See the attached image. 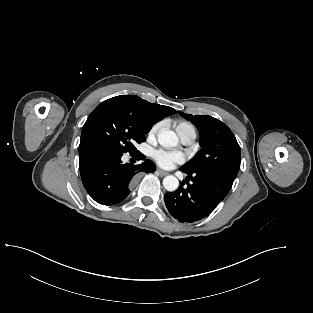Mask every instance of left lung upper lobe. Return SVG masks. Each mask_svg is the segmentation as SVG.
Wrapping results in <instances>:
<instances>
[{"mask_svg":"<svg viewBox=\"0 0 313 313\" xmlns=\"http://www.w3.org/2000/svg\"><path fill=\"white\" fill-rule=\"evenodd\" d=\"M200 132L201 150L181 168L188 173L221 172L237 176L240 169V146L229 127L216 118L190 115L179 111Z\"/></svg>","mask_w":313,"mask_h":313,"instance_id":"5c2ea615","label":"left lung upper lobe"}]
</instances>
